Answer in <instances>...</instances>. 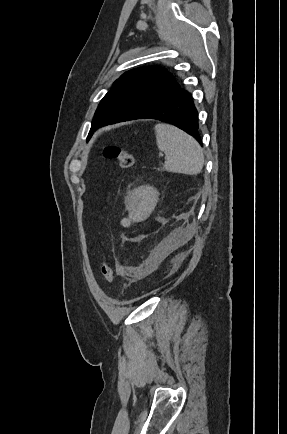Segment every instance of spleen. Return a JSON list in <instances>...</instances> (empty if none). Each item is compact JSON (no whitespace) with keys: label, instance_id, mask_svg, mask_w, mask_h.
Returning <instances> with one entry per match:
<instances>
[{"label":"spleen","instance_id":"1","mask_svg":"<svg viewBox=\"0 0 287 434\" xmlns=\"http://www.w3.org/2000/svg\"><path fill=\"white\" fill-rule=\"evenodd\" d=\"M156 143L165 153V170L196 175L201 172L204 154L199 143L181 129L159 123L155 125Z\"/></svg>","mask_w":287,"mask_h":434}]
</instances>
